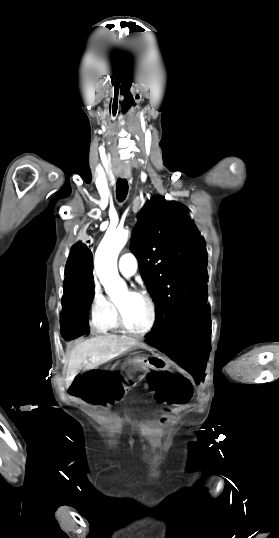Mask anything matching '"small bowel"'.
Returning <instances> with one entry per match:
<instances>
[{
    "instance_id": "c3829d8e",
    "label": "small bowel",
    "mask_w": 279,
    "mask_h": 538,
    "mask_svg": "<svg viewBox=\"0 0 279 538\" xmlns=\"http://www.w3.org/2000/svg\"><path fill=\"white\" fill-rule=\"evenodd\" d=\"M144 386L158 402L170 407L187 404L193 395L188 380L170 372L153 373L145 380Z\"/></svg>"
}]
</instances>
